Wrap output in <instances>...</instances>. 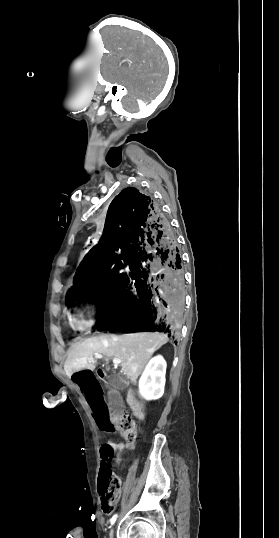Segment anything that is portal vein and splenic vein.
Wrapping results in <instances>:
<instances>
[{
  "label": "portal vein and splenic vein",
  "mask_w": 279,
  "mask_h": 538,
  "mask_svg": "<svg viewBox=\"0 0 279 538\" xmlns=\"http://www.w3.org/2000/svg\"><path fill=\"white\" fill-rule=\"evenodd\" d=\"M106 360V363H109L108 357L105 356V352H100V354H96L95 358H102ZM113 364L115 366H118V364H121V360H118V358H114Z\"/></svg>",
  "instance_id": "1"
}]
</instances>
